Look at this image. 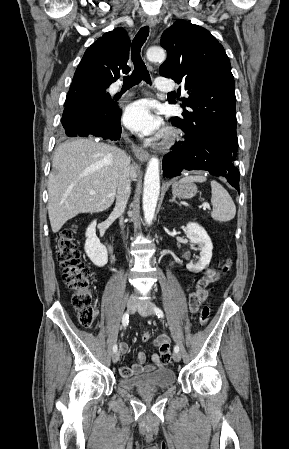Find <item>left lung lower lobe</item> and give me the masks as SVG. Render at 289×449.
Segmentation results:
<instances>
[{
	"label": "left lung lower lobe",
	"instance_id": "1",
	"mask_svg": "<svg viewBox=\"0 0 289 449\" xmlns=\"http://www.w3.org/2000/svg\"><path fill=\"white\" fill-rule=\"evenodd\" d=\"M172 124L185 133L184 141L176 142L173 151L163 158V174L170 178L183 170H205L223 176L239 192L236 134L214 125H200L187 129L172 119Z\"/></svg>",
	"mask_w": 289,
	"mask_h": 449
}]
</instances>
